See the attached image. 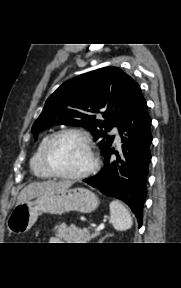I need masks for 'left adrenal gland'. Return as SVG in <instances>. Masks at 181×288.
Returning a JSON list of instances; mask_svg holds the SVG:
<instances>
[{
    "label": "left adrenal gland",
    "mask_w": 181,
    "mask_h": 288,
    "mask_svg": "<svg viewBox=\"0 0 181 288\" xmlns=\"http://www.w3.org/2000/svg\"><path fill=\"white\" fill-rule=\"evenodd\" d=\"M109 235H105L104 237H102L100 240H99V243H102V241L106 238V237H108Z\"/></svg>",
    "instance_id": "a2214340"
}]
</instances>
